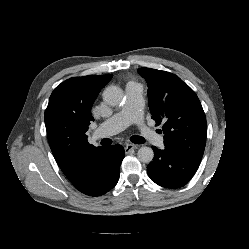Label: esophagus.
<instances>
[{
    "label": "esophagus",
    "instance_id": "1",
    "mask_svg": "<svg viewBox=\"0 0 249 249\" xmlns=\"http://www.w3.org/2000/svg\"><path fill=\"white\" fill-rule=\"evenodd\" d=\"M138 145H134V144H126L125 146V151L126 153H129L132 150L138 149Z\"/></svg>",
    "mask_w": 249,
    "mask_h": 249
}]
</instances>
